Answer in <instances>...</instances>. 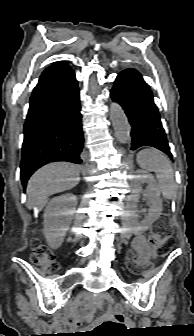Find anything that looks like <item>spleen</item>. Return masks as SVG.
Segmentation results:
<instances>
[{"label": "spleen", "mask_w": 194, "mask_h": 336, "mask_svg": "<svg viewBox=\"0 0 194 336\" xmlns=\"http://www.w3.org/2000/svg\"><path fill=\"white\" fill-rule=\"evenodd\" d=\"M136 160L142 169L155 172L163 196L172 199L176 194V184L169 159L159 150L147 148L137 154Z\"/></svg>", "instance_id": "3e777b00"}]
</instances>
